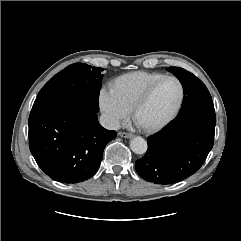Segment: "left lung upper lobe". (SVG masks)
Returning a JSON list of instances; mask_svg holds the SVG:
<instances>
[{
  "mask_svg": "<svg viewBox=\"0 0 241 241\" xmlns=\"http://www.w3.org/2000/svg\"><path fill=\"white\" fill-rule=\"evenodd\" d=\"M168 70L180 80L184 89V98L179 114L201 106H213L208 89L194 74L179 67H169Z\"/></svg>",
  "mask_w": 241,
  "mask_h": 241,
  "instance_id": "5c2ea615",
  "label": "left lung upper lobe"
}]
</instances>
